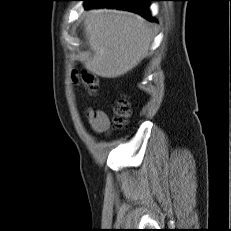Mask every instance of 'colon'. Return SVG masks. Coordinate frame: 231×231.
<instances>
[{
  "label": "colon",
  "instance_id": "1",
  "mask_svg": "<svg viewBox=\"0 0 231 231\" xmlns=\"http://www.w3.org/2000/svg\"><path fill=\"white\" fill-rule=\"evenodd\" d=\"M76 81L83 85L90 93H95L97 90V79L94 74L88 71H82L76 76ZM130 114V107L126 101H120L115 110V124L118 127H123Z\"/></svg>",
  "mask_w": 231,
  "mask_h": 231
}]
</instances>
